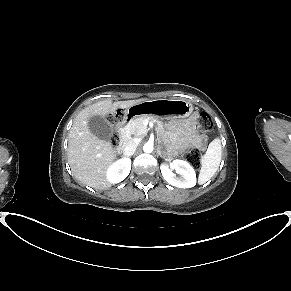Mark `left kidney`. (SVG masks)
<instances>
[{
	"label": "left kidney",
	"instance_id": "left-kidney-1",
	"mask_svg": "<svg viewBox=\"0 0 291 291\" xmlns=\"http://www.w3.org/2000/svg\"><path fill=\"white\" fill-rule=\"evenodd\" d=\"M160 169L164 180L172 186L178 188H191L196 185L195 170L187 161L176 159L170 166L166 163H162ZM172 170H175L180 177H177Z\"/></svg>",
	"mask_w": 291,
	"mask_h": 291
}]
</instances>
